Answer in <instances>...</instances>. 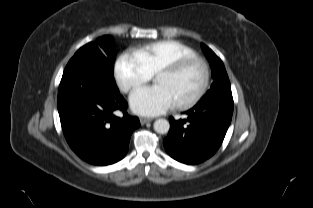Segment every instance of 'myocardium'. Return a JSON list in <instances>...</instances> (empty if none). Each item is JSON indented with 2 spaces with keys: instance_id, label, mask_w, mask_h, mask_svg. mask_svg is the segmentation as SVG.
<instances>
[{
  "instance_id": "myocardium-1",
  "label": "myocardium",
  "mask_w": 313,
  "mask_h": 208,
  "mask_svg": "<svg viewBox=\"0 0 313 208\" xmlns=\"http://www.w3.org/2000/svg\"><path fill=\"white\" fill-rule=\"evenodd\" d=\"M192 64H198L201 69H202V82L199 87V89L196 91L195 94H193L191 97L178 101L175 103V106L179 109H186L189 108L196 103H198L202 97L205 95L209 83H210V68L208 63L202 58L197 55L195 56H188V57H182L174 62L167 64L163 67H161L157 72L156 75L158 74H169V75H175L187 68L188 66Z\"/></svg>"
}]
</instances>
